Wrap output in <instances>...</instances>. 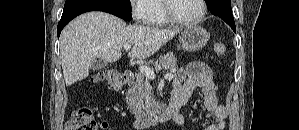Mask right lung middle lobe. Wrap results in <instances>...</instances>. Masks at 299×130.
Masks as SVG:
<instances>
[{"instance_id": "dd1d6c3e", "label": "right lung middle lobe", "mask_w": 299, "mask_h": 130, "mask_svg": "<svg viewBox=\"0 0 299 130\" xmlns=\"http://www.w3.org/2000/svg\"><path fill=\"white\" fill-rule=\"evenodd\" d=\"M68 0H66L67 2ZM107 2H112V3H115V4H118L126 9H129L131 10V6H130V0H105Z\"/></svg>"}]
</instances>
